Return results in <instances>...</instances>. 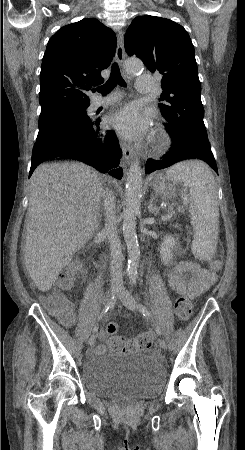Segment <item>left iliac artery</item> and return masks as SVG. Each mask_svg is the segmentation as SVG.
Masks as SVG:
<instances>
[{"mask_svg":"<svg viewBox=\"0 0 245 450\" xmlns=\"http://www.w3.org/2000/svg\"><path fill=\"white\" fill-rule=\"evenodd\" d=\"M135 282H136V278H131L130 284L133 285V284H135ZM139 310L142 313V315L146 318H150L152 316V314L148 310V308L142 304H139ZM154 324H155V330H156L157 334L161 335V330H160L159 326L156 323H154Z\"/></svg>","mask_w":245,"mask_h":450,"instance_id":"left-iliac-artery-1","label":"left iliac artery"}]
</instances>
